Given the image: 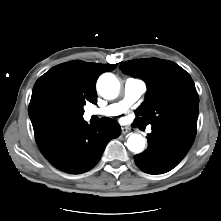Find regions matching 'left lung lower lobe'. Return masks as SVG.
Wrapping results in <instances>:
<instances>
[{
	"label": "left lung lower lobe",
	"instance_id": "obj_1",
	"mask_svg": "<svg viewBox=\"0 0 221 221\" xmlns=\"http://www.w3.org/2000/svg\"><path fill=\"white\" fill-rule=\"evenodd\" d=\"M196 133L165 125H152L147 150L135 155L136 165L148 174H162L177 166L191 148Z\"/></svg>",
	"mask_w": 221,
	"mask_h": 221
}]
</instances>
